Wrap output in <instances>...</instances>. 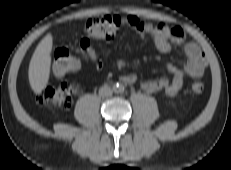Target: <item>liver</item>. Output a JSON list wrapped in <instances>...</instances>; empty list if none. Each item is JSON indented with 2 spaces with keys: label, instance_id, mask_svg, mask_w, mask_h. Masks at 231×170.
<instances>
[{
  "label": "liver",
  "instance_id": "1",
  "mask_svg": "<svg viewBox=\"0 0 231 170\" xmlns=\"http://www.w3.org/2000/svg\"><path fill=\"white\" fill-rule=\"evenodd\" d=\"M52 46L53 38L49 33L40 41L30 60L29 83L36 94H40L48 84Z\"/></svg>",
  "mask_w": 231,
  "mask_h": 170
}]
</instances>
